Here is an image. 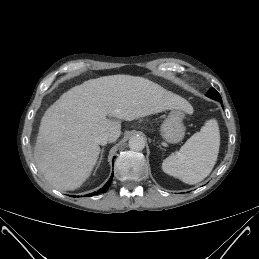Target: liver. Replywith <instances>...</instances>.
<instances>
[{"mask_svg": "<svg viewBox=\"0 0 259 259\" xmlns=\"http://www.w3.org/2000/svg\"><path fill=\"white\" fill-rule=\"evenodd\" d=\"M172 109L193 110L186 99L139 76L111 75L85 81L46 110L34 150L36 166L57 190H75L97 163L100 147L96 136L107 132L110 142H115L121 134L120 120Z\"/></svg>", "mask_w": 259, "mask_h": 259, "instance_id": "liver-1", "label": "liver"}]
</instances>
